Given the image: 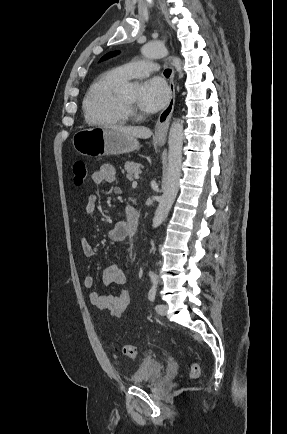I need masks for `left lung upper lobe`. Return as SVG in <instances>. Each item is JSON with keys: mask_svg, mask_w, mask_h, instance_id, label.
Instances as JSON below:
<instances>
[{"mask_svg": "<svg viewBox=\"0 0 287 434\" xmlns=\"http://www.w3.org/2000/svg\"><path fill=\"white\" fill-rule=\"evenodd\" d=\"M118 53H119L118 51L110 52V53L106 54L105 56H103L102 59H101V61L106 60L107 58H110L112 56H115Z\"/></svg>", "mask_w": 287, "mask_h": 434, "instance_id": "obj_1", "label": "left lung upper lobe"}]
</instances>
